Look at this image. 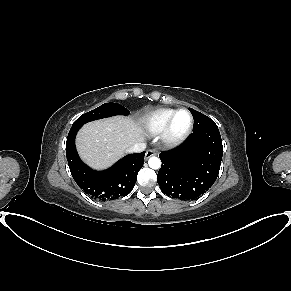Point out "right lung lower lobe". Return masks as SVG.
I'll return each mask as SVG.
<instances>
[{"label": "right lung lower lobe", "mask_w": 291, "mask_h": 291, "mask_svg": "<svg viewBox=\"0 0 291 291\" xmlns=\"http://www.w3.org/2000/svg\"><path fill=\"white\" fill-rule=\"evenodd\" d=\"M80 128H71L66 141L67 161L77 185L99 201L114 200L130 193L144 164L145 152L127 155L111 168L95 171L81 161L76 151L75 137Z\"/></svg>", "instance_id": "obj_1"}]
</instances>
